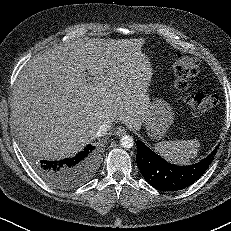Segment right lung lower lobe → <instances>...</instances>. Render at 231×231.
Returning a JSON list of instances; mask_svg holds the SVG:
<instances>
[{"label": "right lung lower lobe", "instance_id": "1", "mask_svg": "<svg viewBox=\"0 0 231 231\" xmlns=\"http://www.w3.org/2000/svg\"><path fill=\"white\" fill-rule=\"evenodd\" d=\"M98 163V150L88 145L72 158L41 160L35 164V169L49 184L59 189H72L89 180L97 170Z\"/></svg>", "mask_w": 231, "mask_h": 231}]
</instances>
